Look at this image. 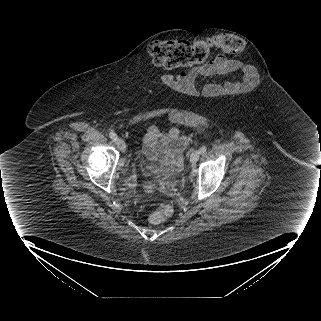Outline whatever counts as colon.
Wrapping results in <instances>:
<instances>
[{"label": "colon", "mask_w": 321, "mask_h": 321, "mask_svg": "<svg viewBox=\"0 0 321 321\" xmlns=\"http://www.w3.org/2000/svg\"><path fill=\"white\" fill-rule=\"evenodd\" d=\"M243 49V41L234 35L222 34L211 39L189 42L185 40H159L149 45V54L155 65L166 69H176L207 61L215 50L238 53ZM172 215L170 205L150 216L154 225L161 224Z\"/></svg>", "instance_id": "5ec220e1"}]
</instances>
